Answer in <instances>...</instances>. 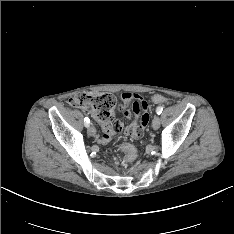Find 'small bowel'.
<instances>
[{
  "label": "small bowel",
  "mask_w": 234,
  "mask_h": 234,
  "mask_svg": "<svg viewBox=\"0 0 234 234\" xmlns=\"http://www.w3.org/2000/svg\"><path fill=\"white\" fill-rule=\"evenodd\" d=\"M119 108L122 110L123 116L127 119H131L133 114L136 116L141 115L137 126L133 123L125 128L126 135L133 136L136 140L141 139L147 132V126L150 120L147 101L136 93L127 92L123 94V99L119 104ZM99 122L101 123L103 131L100 141L104 145L111 141L116 132H120L123 129V124L119 119L113 120V124L109 122Z\"/></svg>",
  "instance_id": "small-bowel-1"
}]
</instances>
